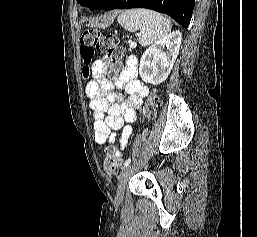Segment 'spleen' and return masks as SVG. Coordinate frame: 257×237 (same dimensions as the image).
Here are the masks:
<instances>
[{
	"mask_svg": "<svg viewBox=\"0 0 257 237\" xmlns=\"http://www.w3.org/2000/svg\"><path fill=\"white\" fill-rule=\"evenodd\" d=\"M118 23L126 30H140L139 44L146 47L161 40L171 31L170 21L163 15L147 9H131L121 13Z\"/></svg>",
	"mask_w": 257,
	"mask_h": 237,
	"instance_id": "obj_1",
	"label": "spleen"
}]
</instances>
